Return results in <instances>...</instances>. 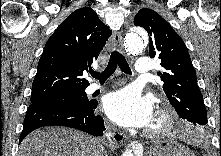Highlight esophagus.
I'll use <instances>...</instances> for the list:
<instances>
[{"label":"esophagus","mask_w":221,"mask_h":156,"mask_svg":"<svg viewBox=\"0 0 221 156\" xmlns=\"http://www.w3.org/2000/svg\"><path fill=\"white\" fill-rule=\"evenodd\" d=\"M112 44L115 49L118 51H122L123 44H122V35L121 32L116 31L112 35ZM113 141L116 145H120L127 141V136L121 132H113L112 133Z\"/></svg>","instance_id":"obj_1"}]
</instances>
